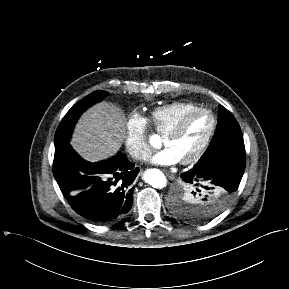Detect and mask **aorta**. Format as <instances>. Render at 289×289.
Returning a JSON list of instances; mask_svg holds the SVG:
<instances>
[{"instance_id": "obj_1", "label": "aorta", "mask_w": 289, "mask_h": 289, "mask_svg": "<svg viewBox=\"0 0 289 289\" xmlns=\"http://www.w3.org/2000/svg\"><path fill=\"white\" fill-rule=\"evenodd\" d=\"M143 178L146 183L150 184L153 188H163L167 184L165 175L158 169H148L145 171Z\"/></svg>"}]
</instances>
